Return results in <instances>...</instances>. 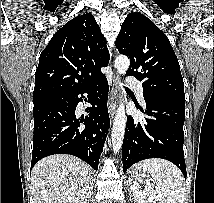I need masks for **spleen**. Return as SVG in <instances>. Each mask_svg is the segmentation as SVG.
<instances>
[{
	"instance_id": "3e777b00",
	"label": "spleen",
	"mask_w": 214,
	"mask_h": 203,
	"mask_svg": "<svg viewBox=\"0 0 214 203\" xmlns=\"http://www.w3.org/2000/svg\"><path fill=\"white\" fill-rule=\"evenodd\" d=\"M139 168L152 177L159 203H184L185 183L180 170L166 160L148 159L138 164Z\"/></svg>"
}]
</instances>
